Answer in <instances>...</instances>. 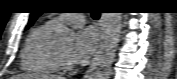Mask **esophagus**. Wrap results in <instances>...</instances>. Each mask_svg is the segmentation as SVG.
Returning <instances> with one entry per match:
<instances>
[{"mask_svg":"<svg viewBox=\"0 0 177 79\" xmlns=\"http://www.w3.org/2000/svg\"><path fill=\"white\" fill-rule=\"evenodd\" d=\"M98 27L100 31V44H99V49L96 52L95 56L93 57L88 69L86 70L84 74V79H93L95 71H96V65H97V60L99 53L101 52L102 45H103V39H104V16L101 15L99 21H98Z\"/></svg>","mask_w":177,"mask_h":79,"instance_id":"esophagus-1","label":"esophagus"}]
</instances>
